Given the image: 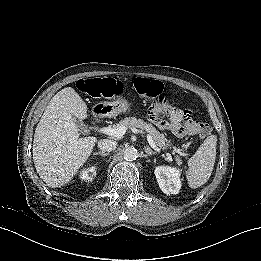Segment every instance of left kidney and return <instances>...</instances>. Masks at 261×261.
<instances>
[{
  "label": "left kidney",
  "instance_id": "obj_1",
  "mask_svg": "<svg viewBox=\"0 0 261 261\" xmlns=\"http://www.w3.org/2000/svg\"><path fill=\"white\" fill-rule=\"evenodd\" d=\"M155 176L160 189L166 194H178L181 188V170L171 166H157Z\"/></svg>",
  "mask_w": 261,
  "mask_h": 261
}]
</instances>
